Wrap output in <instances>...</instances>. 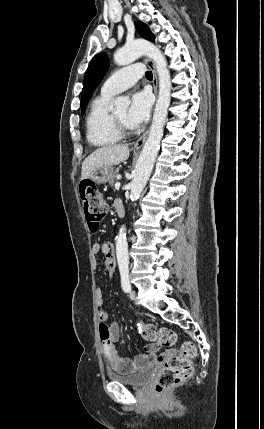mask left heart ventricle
I'll return each instance as SVG.
<instances>
[{
	"label": "left heart ventricle",
	"mask_w": 264,
	"mask_h": 429,
	"mask_svg": "<svg viewBox=\"0 0 264 429\" xmlns=\"http://www.w3.org/2000/svg\"><path fill=\"white\" fill-rule=\"evenodd\" d=\"M127 108H122V109H119V110H117V111H115L114 112V114L116 115V117L120 120V121H122L125 125H127V126H129V127H131L129 124H128V122H127Z\"/></svg>",
	"instance_id": "left-heart-ventricle-1"
}]
</instances>
